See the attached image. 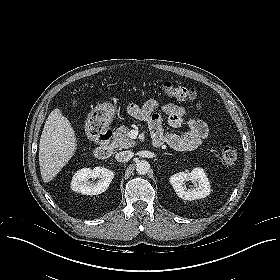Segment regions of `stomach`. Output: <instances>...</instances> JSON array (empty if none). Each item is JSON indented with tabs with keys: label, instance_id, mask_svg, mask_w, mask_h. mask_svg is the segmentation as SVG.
Wrapping results in <instances>:
<instances>
[{
	"label": "stomach",
	"instance_id": "1",
	"mask_svg": "<svg viewBox=\"0 0 280 280\" xmlns=\"http://www.w3.org/2000/svg\"><path fill=\"white\" fill-rule=\"evenodd\" d=\"M115 114V107L110 103H104L94 109L88 116L86 126L91 128L93 125H98L100 119L103 118L104 122H110Z\"/></svg>",
	"mask_w": 280,
	"mask_h": 280
}]
</instances>
